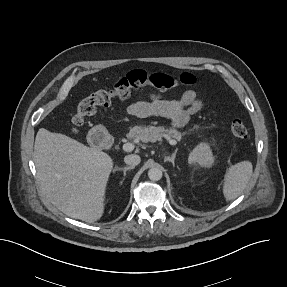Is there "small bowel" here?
I'll return each mask as SVG.
<instances>
[{"instance_id":"obj_1","label":"small bowel","mask_w":287,"mask_h":287,"mask_svg":"<svg viewBox=\"0 0 287 287\" xmlns=\"http://www.w3.org/2000/svg\"><path fill=\"white\" fill-rule=\"evenodd\" d=\"M202 106L198 93L187 90L180 99H167L159 93L150 94L147 99L132 103L127 112L136 117H165L173 127L181 128L188 123L190 116L202 109Z\"/></svg>"}]
</instances>
